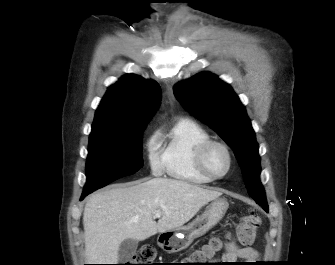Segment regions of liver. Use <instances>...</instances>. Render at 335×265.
Wrapping results in <instances>:
<instances>
[{
  "instance_id": "1",
  "label": "liver",
  "mask_w": 335,
  "mask_h": 265,
  "mask_svg": "<svg viewBox=\"0 0 335 265\" xmlns=\"http://www.w3.org/2000/svg\"><path fill=\"white\" fill-rule=\"evenodd\" d=\"M222 193L180 180L153 178L91 195L83 213L85 256L89 264H117L126 239L145 240L181 228ZM159 211L158 222L154 214Z\"/></svg>"
}]
</instances>
